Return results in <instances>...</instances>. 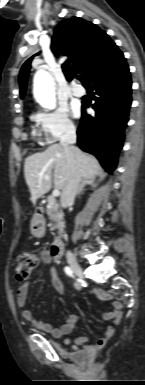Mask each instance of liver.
I'll return each mask as SVG.
<instances>
[{
	"label": "liver",
	"instance_id": "6515ba94",
	"mask_svg": "<svg viewBox=\"0 0 145 385\" xmlns=\"http://www.w3.org/2000/svg\"><path fill=\"white\" fill-rule=\"evenodd\" d=\"M72 152L77 157L81 178L94 179L101 171L98 160L77 147H74ZM24 175L33 204L52 186L63 190L69 177L68 150L61 144H52L45 151L30 155L25 160Z\"/></svg>",
	"mask_w": 145,
	"mask_h": 385
}]
</instances>
